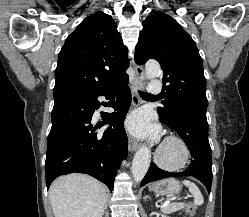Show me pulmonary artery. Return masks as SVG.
<instances>
[{"label": "pulmonary artery", "mask_w": 249, "mask_h": 217, "mask_svg": "<svg viewBox=\"0 0 249 217\" xmlns=\"http://www.w3.org/2000/svg\"><path fill=\"white\" fill-rule=\"evenodd\" d=\"M162 90V84L160 81L158 80H152L150 83H149V92L150 94L152 95H157L161 92Z\"/></svg>", "instance_id": "e3ab8cb5"}]
</instances>
